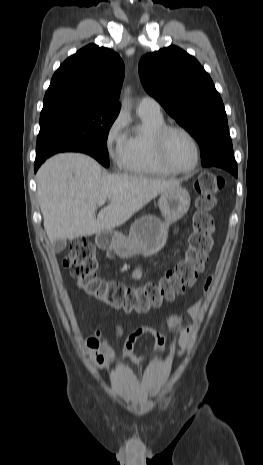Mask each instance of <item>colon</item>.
<instances>
[{"mask_svg":"<svg viewBox=\"0 0 263 465\" xmlns=\"http://www.w3.org/2000/svg\"><path fill=\"white\" fill-rule=\"evenodd\" d=\"M223 187L224 179L212 173H203L196 179L194 190L197 195V211L193 216V229L187 241L184 258L157 281L130 287L121 282L99 278L95 248L83 239L72 241L64 264L69 267L80 288L111 306L137 313L158 307L192 286L203 269L213 246L212 236L215 232V222L210 212ZM175 323L178 324L179 320ZM96 342V338L89 340L90 345Z\"/></svg>","mask_w":263,"mask_h":465,"instance_id":"colon-1","label":"colon"}]
</instances>
